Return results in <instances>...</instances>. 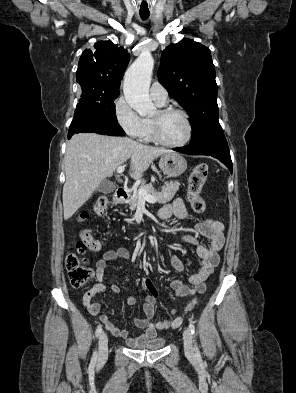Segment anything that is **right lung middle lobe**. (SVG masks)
I'll list each match as a JSON object with an SVG mask.
<instances>
[{"mask_svg": "<svg viewBox=\"0 0 296 393\" xmlns=\"http://www.w3.org/2000/svg\"><path fill=\"white\" fill-rule=\"evenodd\" d=\"M118 95L119 92L104 94L82 89L81 99L76 110H85L101 115L108 120L117 121L114 100Z\"/></svg>", "mask_w": 296, "mask_h": 393, "instance_id": "right-lung-middle-lobe-1", "label": "right lung middle lobe"}]
</instances>
